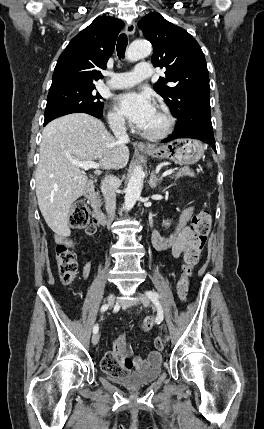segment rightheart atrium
Wrapping results in <instances>:
<instances>
[{
  "instance_id": "d8ad5b80",
  "label": "right heart atrium",
  "mask_w": 264,
  "mask_h": 429,
  "mask_svg": "<svg viewBox=\"0 0 264 429\" xmlns=\"http://www.w3.org/2000/svg\"><path fill=\"white\" fill-rule=\"evenodd\" d=\"M108 122L115 131H124L127 127L125 119L116 110H111L108 113Z\"/></svg>"
}]
</instances>
